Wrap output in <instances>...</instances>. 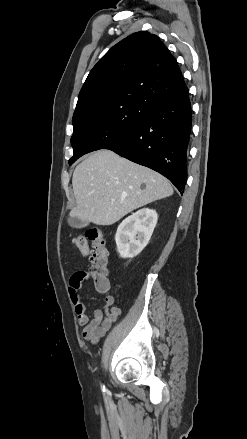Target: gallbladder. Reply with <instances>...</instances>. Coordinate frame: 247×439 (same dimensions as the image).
Returning <instances> with one entry per match:
<instances>
[{
    "label": "gallbladder",
    "mask_w": 247,
    "mask_h": 439,
    "mask_svg": "<svg viewBox=\"0 0 247 439\" xmlns=\"http://www.w3.org/2000/svg\"><path fill=\"white\" fill-rule=\"evenodd\" d=\"M68 224L74 228H83L87 226L88 222L82 221L74 216L68 218Z\"/></svg>",
    "instance_id": "gallbladder-1"
}]
</instances>
